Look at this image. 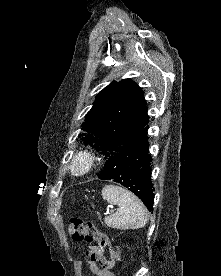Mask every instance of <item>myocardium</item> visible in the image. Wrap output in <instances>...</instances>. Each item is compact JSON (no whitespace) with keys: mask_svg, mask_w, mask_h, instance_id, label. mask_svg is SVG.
I'll return each mask as SVG.
<instances>
[{"mask_svg":"<svg viewBox=\"0 0 221 276\" xmlns=\"http://www.w3.org/2000/svg\"><path fill=\"white\" fill-rule=\"evenodd\" d=\"M96 160V155L92 151L78 150L70 160V169L76 175H86L95 167Z\"/></svg>","mask_w":221,"mask_h":276,"instance_id":"obj_1","label":"myocardium"}]
</instances>
